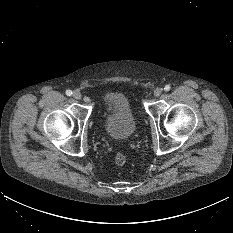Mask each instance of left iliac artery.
<instances>
[{"label": "left iliac artery", "instance_id": "left-iliac-artery-1", "mask_svg": "<svg viewBox=\"0 0 233 233\" xmlns=\"http://www.w3.org/2000/svg\"><path fill=\"white\" fill-rule=\"evenodd\" d=\"M170 89H171L170 85H166V86L164 87V90H165V91H169Z\"/></svg>", "mask_w": 233, "mask_h": 233}]
</instances>
